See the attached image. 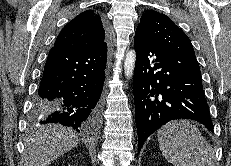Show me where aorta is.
Returning <instances> with one entry per match:
<instances>
[{
    "label": "aorta",
    "instance_id": "762f6f07",
    "mask_svg": "<svg viewBox=\"0 0 231 166\" xmlns=\"http://www.w3.org/2000/svg\"><path fill=\"white\" fill-rule=\"evenodd\" d=\"M135 62L136 52L134 50L128 51L124 61V72L127 79H131L133 76Z\"/></svg>",
    "mask_w": 231,
    "mask_h": 166
}]
</instances>
